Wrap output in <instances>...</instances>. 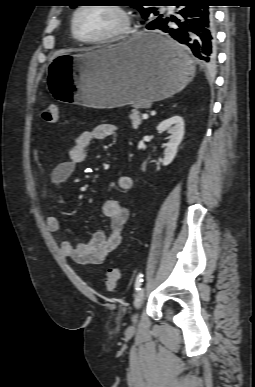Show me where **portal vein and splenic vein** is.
Here are the masks:
<instances>
[{"label":"portal vein and splenic vein","mask_w":255,"mask_h":387,"mask_svg":"<svg viewBox=\"0 0 255 387\" xmlns=\"http://www.w3.org/2000/svg\"><path fill=\"white\" fill-rule=\"evenodd\" d=\"M148 117H149L148 114H143V115H142V118H143V119H148Z\"/></svg>","instance_id":"portal-vein-and-splenic-vein-1"}]
</instances>
